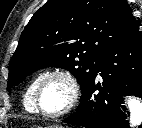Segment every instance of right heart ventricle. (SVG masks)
Here are the masks:
<instances>
[{
    "instance_id": "e07e8e85",
    "label": "right heart ventricle",
    "mask_w": 142,
    "mask_h": 128,
    "mask_svg": "<svg viewBox=\"0 0 142 128\" xmlns=\"http://www.w3.org/2000/svg\"><path fill=\"white\" fill-rule=\"evenodd\" d=\"M41 75L42 73L38 74L30 81L23 94V99H22L23 106L28 112L31 113L36 112L35 103H34V92L38 79L40 78Z\"/></svg>"
}]
</instances>
